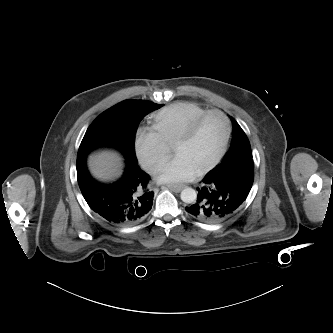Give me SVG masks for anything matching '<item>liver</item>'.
<instances>
[{
  "label": "liver",
  "instance_id": "6515ba94",
  "mask_svg": "<svg viewBox=\"0 0 333 333\" xmlns=\"http://www.w3.org/2000/svg\"><path fill=\"white\" fill-rule=\"evenodd\" d=\"M120 158L114 154L101 153L90 157L92 173L102 179H112L117 174V165Z\"/></svg>",
  "mask_w": 333,
  "mask_h": 333
}]
</instances>
